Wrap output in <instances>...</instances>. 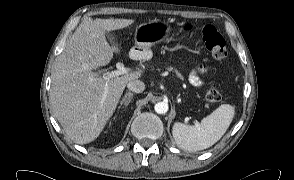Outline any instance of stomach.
I'll return each mask as SVG.
<instances>
[{"label": "stomach", "mask_w": 294, "mask_h": 180, "mask_svg": "<svg viewBox=\"0 0 294 180\" xmlns=\"http://www.w3.org/2000/svg\"><path fill=\"white\" fill-rule=\"evenodd\" d=\"M171 31L167 21L154 20L141 23L134 34L135 47L139 56H143L150 47L165 40Z\"/></svg>", "instance_id": "1"}]
</instances>
